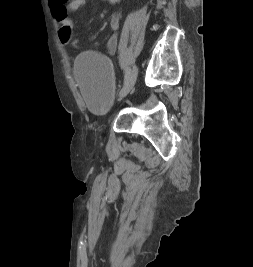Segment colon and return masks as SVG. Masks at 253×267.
Listing matches in <instances>:
<instances>
[{"mask_svg":"<svg viewBox=\"0 0 253 267\" xmlns=\"http://www.w3.org/2000/svg\"><path fill=\"white\" fill-rule=\"evenodd\" d=\"M58 36L64 45H70L75 49L80 47L78 40L73 38L72 28L70 26H61L58 31Z\"/></svg>","mask_w":253,"mask_h":267,"instance_id":"obj_1","label":"colon"}]
</instances>
